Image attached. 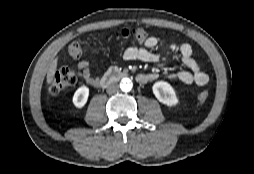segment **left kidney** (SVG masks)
Masks as SVG:
<instances>
[{
  "mask_svg": "<svg viewBox=\"0 0 254 174\" xmlns=\"http://www.w3.org/2000/svg\"><path fill=\"white\" fill-rule=\"evenodd\" d=\"M152 90L159 102L167 106H175L179 102L174 88L168 82L157 81L154 83Z\"/></svg>",
  "mask_w": 254,
  "mask_h": 174,
  "instance_id": "left-kidney-1",
  "label": "left kidney"
}]
</instances>
